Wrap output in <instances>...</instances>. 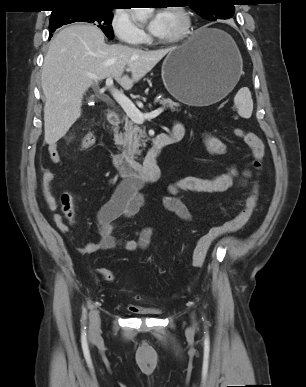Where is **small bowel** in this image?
<instances>
[{
  "mask_svg": "<svg viewBox=\"0 0 306 387\" xmlns=\"http://www.w3.org/2000/svg\"><path fill=\"white\" fill-rule=\"evenodd\" d=\"M185 129L181 123H175L171 134H180L183 137ZM204 144L208 152L212 155L225 153L226 145L217 137L210 133L203 135ZM48 153L51 161L56 165H62L63 161L57 151L55 144L48 146ZM239 172L235 167H230L226 173L216 176L212 179L200 178L197 176H185L175 181L169 186V194L162 200L164 207L184 221L191 218V213L187 206L177 196L180 191H190L198 193H221L229 190ZM244 178L249 177V172L242 173ZM56 179V174L48 169L43 170L42 175V193L47 207L51 211L57 208L55 197L51 193V186ZM143 204V195L141 193V183L125 181L121 183L113 196L103 204L96 213V224L98 226L99 240L88 243L81 248L79 252L83 254H94L99 251L122 248L128 252L145 250L150 245L155 231L152 227L143 228L137 239H120L115 231L118 223L135 215ZM53 221L57 228L66 232L67 225L63 222L58 213L53 214ZM140 307L132 305L131 310H138Z\"/></svg>",
  "mask_w": 306,
  "mask_h": 387,
  "instance_id": "obj_1",
  "label": "small bowel"
}]
</instances>
